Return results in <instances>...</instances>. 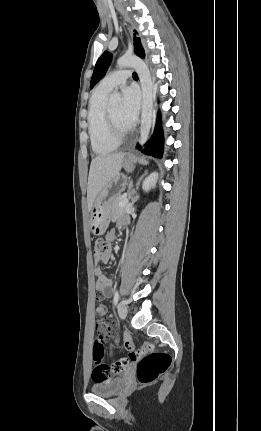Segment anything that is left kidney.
Listing matches in <instances>:
<instances>
[{
  "mask_svg": "<svg viewBox=\"0 0 261 431\" xmlns=\"http://www.w3.org/2000/svg\"><path fill=\"white\" fill-rule=\"evenodd\" d=\"M158 177V173L154 172L150 174L144 181H143V189L145 191H149L151 188L155 186L156 180Z\"/></svg>",
  "mask_w": 261,
  "mask_h": 431,
  "instance_id": "left-kidney-1",
  "label": "left kidney"
}]
</instances>
